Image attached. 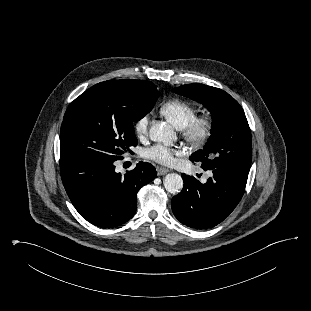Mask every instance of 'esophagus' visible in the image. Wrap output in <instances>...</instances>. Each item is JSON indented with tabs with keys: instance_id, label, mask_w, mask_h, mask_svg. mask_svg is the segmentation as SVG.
Returning a JSON list of instances; mask_svg holds the SVG:
<instances>
[{
	"instance_id": "obj_1",
	"label": "esophagus",
	"mask_w": 311,
	"mask_h": 311,
	"mask_svg": "<svg viewBox=\"0 0 311 311\" xmlns=\"http://www.w3.org/2000/svg\"><path fill=\"white\" fill-rule=\"evenodd\" d=\"M156 171H157V174L161 176V175H165L169 170L166 168L157 167Z\"/></svg>"
}]
</instances>
